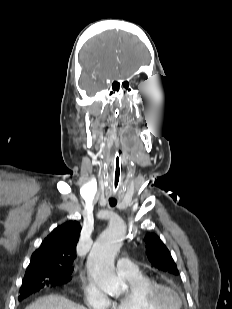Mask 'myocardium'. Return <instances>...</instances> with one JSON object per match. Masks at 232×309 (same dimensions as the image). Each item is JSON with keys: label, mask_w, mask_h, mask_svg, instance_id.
Segmentation results:
<instances>
[{"label": "myocardium", "mask_w": 232, "mask_h": 309, "mask_svg": "<svg viewBox=\"0 0 232 309\" xmlns=\"http://www.w3.org/2000/svg\"><path fill=\"white\" fill-rule=\"evenodd\" d=\"M168 295L175 297L177 301L176 309H182L184 301L177 289L174 287L154 282L144 294L145 302L150 306L151 309H168L165 301Z\"/></svg>", "instance_id": "f54148a6"}]
</instances>
